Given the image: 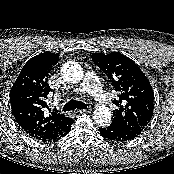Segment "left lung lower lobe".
I'll list each match as a JSON object with an SVG mask.
<instances>
[{
    "label": "left lung lower lobe",
    "mask_w": 174,
    "mask_h": 174,
    "mask_svg": "<svg viewBox=\"0 0 174 174\" xmlns=\"http://www.w3.org/2000/svg\"><path fill=\"white\" fill-rule=\"evenodd\" d=\"M139 134L140 133L123 128L116 124H110L109 126L100 129V135L102 137L108 140H114L117 142H123V141L134 139Z\"/></svg>",
    "instance_id": "obj_1"
}]
</instances>
